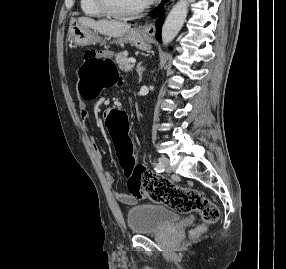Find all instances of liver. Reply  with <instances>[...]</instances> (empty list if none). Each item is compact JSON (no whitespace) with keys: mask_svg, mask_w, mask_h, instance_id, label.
<instances>
[{"mask_svg":"<svg viewBox=\"0 0 286 269\" xmlns=\"http://www.w3.org/2000/svg\"><path fill=\"white\" fill-rule=\"evenodd\" d=\"M78 22L98 33L115 38L122 37L131 28V25L125 22L106 19L95 21L89 17H80Z\"/></svg>","mask_w":286,"mask_h":269,"instance_id":"obj_1","label":"liver"}]
</instances>
